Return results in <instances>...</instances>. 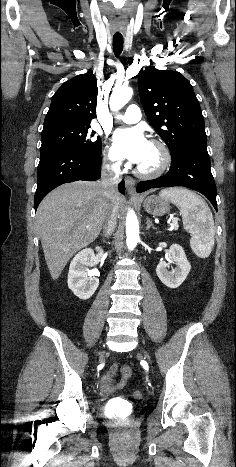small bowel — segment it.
<instances>
[{"instance_id":"small-bowel-1","label":"small bowel","mask_w":236,"mask_h":467,"mask_svg":"<svg viewBox=\"0 0 236 467\" xmlns=\"http://www.w3.org/2000/svg\"><path fill=\"white\" fill-rule=\"evenodd\" d=\"M117 370H120L121 377L118 383L113 384V377ZM132 374V370L127 365L120 366L118 362L114 363L110 370L102 376L100 380V390L104 394H111L115 391L121 390L127 384L128 379Z\"/></svg>"}]
</instances>
